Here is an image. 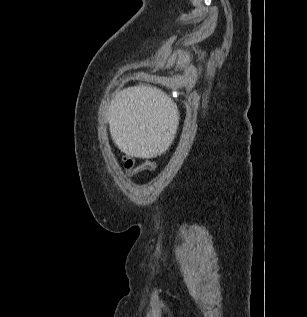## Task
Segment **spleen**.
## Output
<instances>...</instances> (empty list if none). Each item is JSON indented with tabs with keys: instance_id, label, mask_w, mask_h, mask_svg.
<instances>
[{
	"instance_id": "3e777b00",
	"label": "spleen",
	"mask_w": 307,
	"mask_h": 317,
	"mask_svg": "<svg viewBox=\"0 0 307 317\" xmlns=\"http://www.w3.org/2000/svg\"><path fill=\"white\" fill-rule=\"evenodd\" d=\"M175 117V106L158 86H132L117 94L108 120L112 138L123 152L155 155L162 148L161 154L167 155V148H176L170 142Z\"/></svg>"
}]
</instances>
